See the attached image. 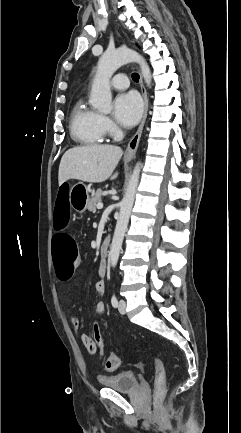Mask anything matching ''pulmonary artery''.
<instances>
[{"mask_svg": "<svg viewBox=\"0 0 241 433\" xmlns=\"http://www.w3.org/2000/svg\"><path fill=\"white\" fill-rule=\"evenodd\" d=\"M111 84L117 90H124L129 86V81L124 74H119L113 78Z\"/></svg>", "mask_w": 241, "mask_h": 433, "instance_id": "e3ab8cb5", "label": "pulmonary artery"}]
</instances>
